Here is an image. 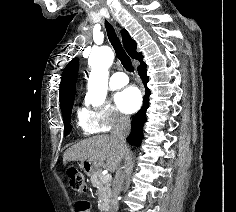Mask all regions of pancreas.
<instances>
[{"mask_svg": "<svg viewBox=\"0 0 236 212\" xmlns=\"http://www.w3.org/2000/svg\"><path fill=\"white\" fill-rule=\"evenodd\" d=\"M91 183L98 189V209L102 212L108 210L111 197L109 180H105L104 176L97 172L91 175Z\"/></svg>", "mask_w": 236, "mask_h": 212, "instance_id": "cf45deb5", "label": "pancreas"}]
</instances>
